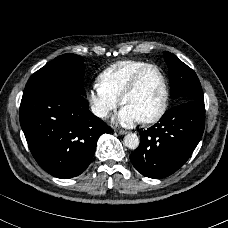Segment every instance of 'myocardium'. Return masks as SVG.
Segmentation results:
<instances>
[{"label": "myocardium", "mask_w": 228, "mask_h": 228, "mask_svg": "<svg viewBox=\"0 0 228 228\" xmlns=\"http://www.w3.org/2000/svg\"><path fill=\"white\" fill-rule=\"evenodd\" d=\"M151 69L157 70L158 73L161 75V78H162L163 84H164L165 97H164L163 105L161 106L160 110L155 115L141 120V122L145 123V124L158 122L159 120H161L164 117V115L166 114V112L168 110L169 103H170V87H169L168 78H167L164 70L159 65L153 64V63H150V64L144 66L143 68L139 69L132 77L130 83L128 84V86L126 87V89L124 90V92L120 98L121 105H124L125 100L131 94H133L136 91V89L138 88L142 77Z\"/></svg>", "instance_id": "1"}]
</instances>
